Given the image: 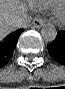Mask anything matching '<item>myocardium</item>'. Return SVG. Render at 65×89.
I'll return each mask as SVG.
<instances>
[{"label":"myocardium","instance_id":"myocardium-1","mask_svg":"<svg viewBox=\"0 0 65 89\" xmlns=\"http://www.w3.org/2000/svg\"><path fill=\"white\" fill-rule=\"evenodd\" d=\"M54 17L60 21L63 22L65 20V6H57L53 9Z\"/></svg>","mask_w":65,"mask_h":89}]
</instances>
